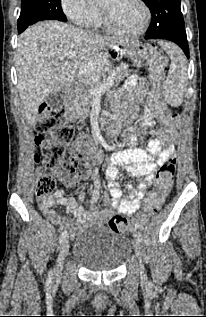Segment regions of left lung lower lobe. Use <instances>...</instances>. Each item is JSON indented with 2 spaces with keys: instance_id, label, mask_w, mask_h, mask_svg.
<instances>
[{
  "instance_id": "1",
  "label": "left lung lower lobe",
  "mask_w": 206,
  "mask_h": 317,
  "mask_svg": "<svg viewBox=\"0 0 206 317\" xmlns=\"http://www.w3.org/2000/svg\"><path fill=\"white\" fill-rule=\"evenodd\" d=\"M145 39H164L172 41L179 45L186 54L187 58H189V48L186 34L167 33L154 37L145 36Z\"/></svg>"
}]
</instances>
